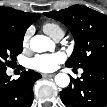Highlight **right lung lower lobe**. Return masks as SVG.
<instances>
[{
  "instance_id": "1",
  "label": "right lung lower lobe",
  "mask_w": 107,
  "mask_h": 107,
  "mask_svg": "<svg viewBox=\"0 0 107 107\" xmlns=\"http://www.w3.org/2000/svg\"><path fill=\"white\" fill-rule=\"evenodd\" d=\"M41 78L35 71H24L17 80H10L6 69H0V107H30L34 98V82Z\"/></svg>"
}]
</instances>
